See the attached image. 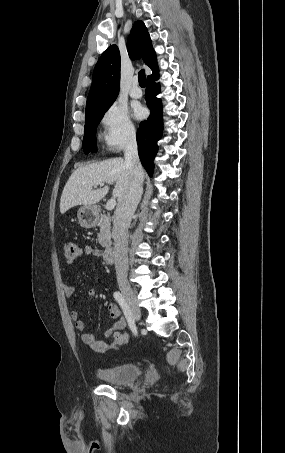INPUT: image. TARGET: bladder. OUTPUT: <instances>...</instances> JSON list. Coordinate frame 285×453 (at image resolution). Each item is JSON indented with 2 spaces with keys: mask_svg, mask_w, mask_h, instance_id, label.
<instances>
[{
  "mask_svg": "<svg viewBox=\"0 0 285 453\" xmlns=\"http://www.w3.org/2000/svg\"><path fill=\"white\" fill-rule=\"evenodd\" d=\"M96 376L102 381L122 385L135 381L141 375V369L133 363H125L109 367H98L95 370Z\"/></svg>",
  "mask_w": 285,
  "mask_h": 453,
  "instance_id": "31cf9c89",
  "label": "bladder"
}]
</instances>
